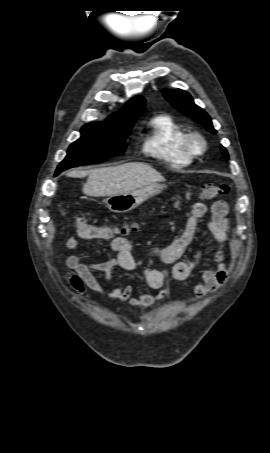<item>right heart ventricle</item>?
I'll return each mask as SVG.
<instances>
[{
  "label": "right heart ventricle",
  "instance_id": "obj_1",
  "mask_svg": "<svg viewBox=\"0 0 270 453\" xmlns=\"http://www.w3.org/2000/svg\"><path fill=\"white\" fill-rule=\"evenodd\" d=\"M186 131L171 116L161 114L153 117L143 142V150L149 156L172 167L183 168L192 163L182 147Z\"/></svg>",
  "mask_w": 270,
  "mask_h": 453
}]
</instances>
